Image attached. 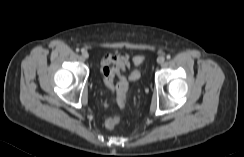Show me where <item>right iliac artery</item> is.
I'll use <instances>...</instances> for the list:
<instances>
[{
  "instance_id": "obj_1",
  "label": "right iliac artery",
  "mask_w": 244,
  "mask_h": 157,
  "mask_svg": "<svg viewBox=\"0 0 244 157\" xmlns=\"http://www.w3.org/2000/svg\"><path fill=\"white\" fill-rule=\"evenodd\" d=\"M77 52H79L80 50L79 49H76Z\"/></svg>"
}]
</instances>
